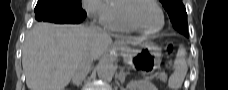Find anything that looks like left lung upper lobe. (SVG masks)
<instances>
[{"label":"left lung upper lobe","instance_id":"obj_1","mask_svg":"<svg viewBox=\"0 0 228 90\" xmlns=\"http://www.w3.org/2000/svg\"><path fill=\"white\" fill-rule=\"evenodd\" d=\"M167 10L171 22L176 30L184 35H188L187 13L182 0H160Z\"/></svg>","mask_w":228,"mask_h":90}]
</instances>
